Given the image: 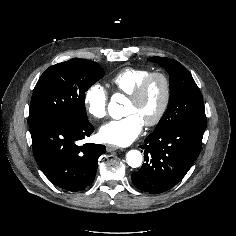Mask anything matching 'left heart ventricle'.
Segmentation results:
<instances>
[{"label":"left heart ventricle","instance_id":"b2bd125f","mask_svg":"<svg viewBox=\"0 0 236 236\" xmlns=\"http://www.w3.org/2000/svg\"><path fill=\"white\" fill-rule=\"evenodd\" d=\"M162 99L163 84L161 80L154 79L139 101L129 99L126 106V114H137L145 122L156 115L161 106Z\"/></svg>","mask_w":236,"mask_h":236}]
</instances>
